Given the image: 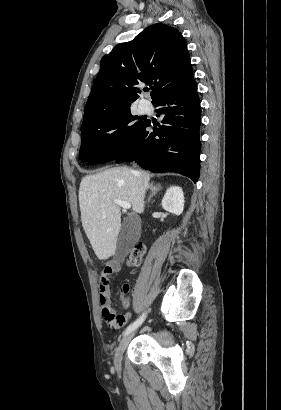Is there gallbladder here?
<instances>
[{
	"label": "gallbladder",
	"mask_w": 281,
	"mask_h": 410,
	"mask_svg": "<svg viewBox=\"0 0 281 410\" xmlns=\"http://www.w3.org/2000/svg\"><path fill=\"white\" fill-rule=\"evenodd\" d=\"M138 231L135 226V216L127 217L120 229L115 257L117 261L123 262L125 257L130 252L131 247L136 243L138 239Z\"/></svg>",
	"instance_id": "1"
}]
</instances>
